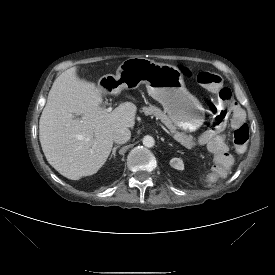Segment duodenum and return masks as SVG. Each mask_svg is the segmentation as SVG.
<instances>
[{
	"label": "duodenum",
	"mask_w": 275,
	"mask_h": 275,
	"mask_svg": "<svg viewBox=\"0 0 275 275\" xmlns=\"http://www.w3.org/2000/svg\"><path fill=\"white\" fill-rule=\"evenodd\" d=\"M96 94H99L100 97H106V92L101 91V89H96Z\"/></svg>",
	"instance_id": "obj_1"
}]
</instances>
